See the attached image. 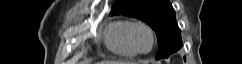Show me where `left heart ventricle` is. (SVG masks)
Here are the masks:
<instances>
[{
	"instance_id": "b2bd125f",
	"label": "left heart ventricle",
	"mask_w": 242,
	"mask_h": 64,
	"mask_svg": "<svg viewBox=\"0 0 242 64\" xmlns=\"http://www.w3.org/2000/svg\"><path fill=\"white\" fill-rule=\"evenodd\" d=\"M134 41L137 47L143 51L148 50L151 45V38L149 33L142 28H138L134 32Z\"/></svg>"
}]
</instances>
